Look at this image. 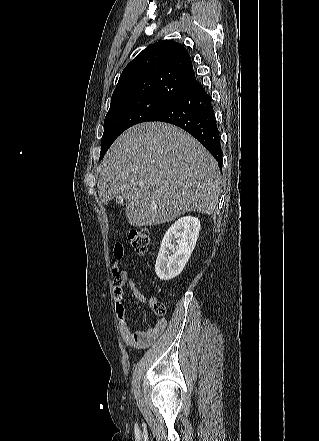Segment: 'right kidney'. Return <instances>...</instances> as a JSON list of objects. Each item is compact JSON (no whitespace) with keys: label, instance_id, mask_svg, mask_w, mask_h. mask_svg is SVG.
Wrapping results in <instances>:
<instances>
[{"label":"right kidney","instance_id":"1","mask_svg":"<svg viewBox=\"0 0 319 441\" xmlns=\"http://www.w3.org/2000/svg\"><path fill=\"white\" fill-rule=\"evenodd\" d=\"M200 228V220L192 216L182 217L169 227L155 263V272L161 280L169 281L182 272L195 248Z\"/></svg>","mask_w":319,"mask_h":441}]
</instances>
